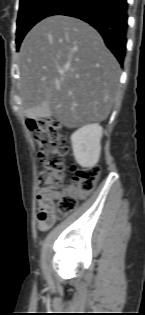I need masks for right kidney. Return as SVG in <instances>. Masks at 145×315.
<instances>
[{
    "label": "right kidney",
    "instance_id": "ca27d5eb",
    "mask_svg": "<svg viewBox=\"0 0 145 315\" xmlns=\"http://www.w3.org/2000/svg\"><path fill=\"white\" fill-rule=\"evenodd\" d=\"M103 129L98 123L85 125L71 135L73 154L82 167L94 166L100 157Z\"/></svg>",
    "mask_w": 145,
    "mask_h": 315
}]
</instances>
